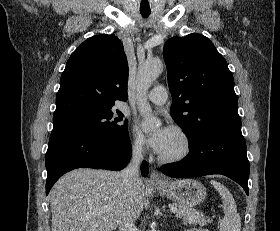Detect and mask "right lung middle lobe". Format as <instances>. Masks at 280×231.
I'll return each mask as SVG.
<instances>
[{"label": "right lung middle lobe", "mask_w": 280, "mask_h": 231, "mask_svg": "<svg viewBox=\"0 0 280 231\" xmlns=\"http://www.w3.org/2000/svg\"><path fill=\"white\" fill-rule=\"evenodd\" d=\"M116 112L119 117L114 119H112L113 112H106L99 115L53 122V131L74 129L99 136L117 137L125 135L128 133V122L126 120L122 123L123 113L118 110Z\"/></svg>", "instance_id": "1"}]
</instances>
